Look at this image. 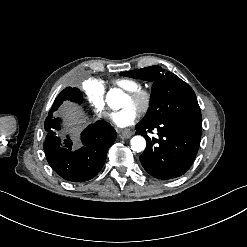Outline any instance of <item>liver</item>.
I'll list each match as a JSON object with an SVG mask.
<instances>
[{"instance_id": "1", "label": "liver", "mask_w": 247, "mask_h": 247, "mask_svg": "<svg viewBox=\"0 0 247 247\" xmlns=\"http://www.w3.org/2000/svg\"><path fill=\"white\" fill-rule=\"evenodd\" d=\"M59 114L64 117L66 121V125L68 127H73L69 130V132H73V149L81 147V143L79 140V134L82 128L74 127L76 124L85 123L84 119L85 115L83 110L78 107L76 104H73L69 101H65L62 107L59 110Z\"/></svg>"}]
</instances>
